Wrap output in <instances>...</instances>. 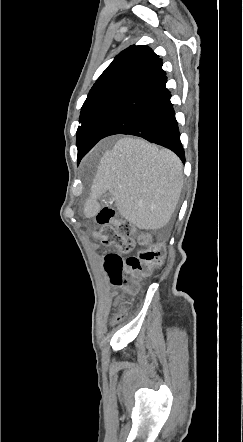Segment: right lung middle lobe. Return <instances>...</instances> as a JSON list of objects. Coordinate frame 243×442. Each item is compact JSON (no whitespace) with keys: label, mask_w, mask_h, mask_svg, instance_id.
Masks as SVG:
<instances>
[{"label":"right lung middle lobe","mask_w":243,"mask_h":442,"mask_svg":"<svg viewBox=\"0 0 243 442\" xmlns=\"http://www.w3.org/2000/svg\"><path fill=\"white\" fill-rule=\"evenodd\" d=\"M125 96L126 94L120 93L107 94L84 102L79 119L81 126L77 130L78 161L83 156L97 126L107 113Z\"/></svg>","instance_id":"obj_1"}]
</instances>
